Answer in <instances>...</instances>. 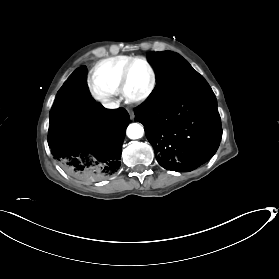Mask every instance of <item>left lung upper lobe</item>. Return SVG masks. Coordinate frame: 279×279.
<instances>
[{
	"instance_id": "5c2ea615",
	"label": "left lung upper lobe",
	"mask_w": 279,
	"mask_h": 279,
	"mask_svg": "<svg viewBox=\"0 0 279 279\" xmlns=\"http://www.w3.org/2000/svg\"><path fill=\"white\" fill-rule=\"evenodd\" d=\"M148 59L156 71V87L144 102L147 105L169 99L189 82L201 76L183 57L171 51L150 52Z\"/></svg>"
}]
</instances>
